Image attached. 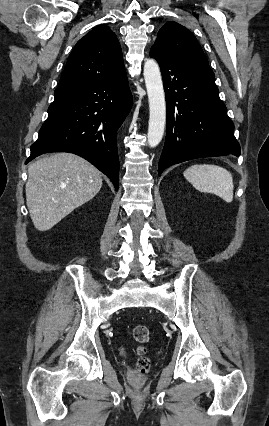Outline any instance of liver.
Instances as JSON below:
<instances>
[{
	"instance_id": "6515ba94",
	"label": "liver",
	"mask_w": 269,
	"mask_h": 426,
	"mask_svg": "<svg viewBox=\"0 0 269 426\" xmlns=\"http://www.w3.org/2000/svg\"><path fill=\"white\" fill-rule=\"evenodd\" d=\"M102 187V174L71 153L45 156L28 168L26 202L36 229L47 231Z\"/></svg>"
}]
</instances>
